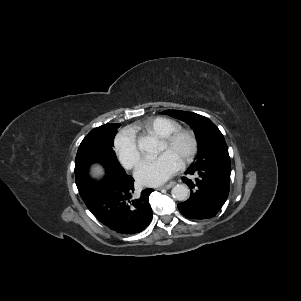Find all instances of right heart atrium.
<instances>
[{"mask_svg":"<svg viewBox=\"0 0 301 301\" xmlns=\"http://www.w3.org/2000/svg\"><path fill=\"white\" fill-rule=\"evenodd\" d=\"M114 150L124 167L132 169L137 167L140 163V151L135 133L131 129H123L116 135L114 139Z\"/></svg>","mask_w":301,"mask_h":301,"instance_id":"1","label":"right heart atrium"}]
</instances>
